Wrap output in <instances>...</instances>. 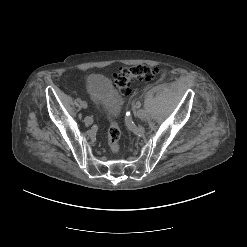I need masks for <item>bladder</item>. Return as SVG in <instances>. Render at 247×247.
I'll list each match as a JSON object with an SVG mask.
<instances>
[{"label":"bladder","instance_id":"bladder-1","mask_svg":"<svg viewBox=\"0 0 247 247\" xmlns=\"http://www.w3.org/2000/svg\"><path fill=\"white\" fill-rule=\"evenodd\" d=\"M86 88L91 98L108 119H116L119 116L123 100L107 76L102 74L90 75L87 78Z\"/></svg>","mask_w":247,"mask_h":247}]
</instances>
